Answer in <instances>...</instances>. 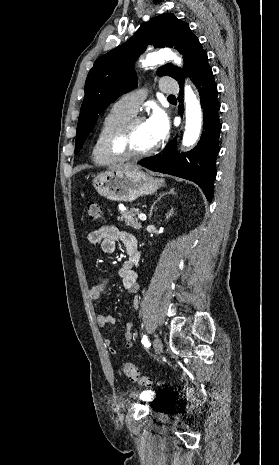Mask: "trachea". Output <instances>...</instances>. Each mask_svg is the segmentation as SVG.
I'll return each instance as SVG.
<instances>
[{
    "mask_svg": "<svg viewBox=\"0 0 279 465\" xmlns=\"http://www.w3.org/2000/svg\"><path fill=\"white\" fill-rule=\"evenodd\" d=\"M168 99H175V96H174V95H170V96L168 97Z\"/></svg>",
    "mask_w": 279,
    "mask_h": 465,
    "instance_id": "obj_1",
    "label": "trachea"
}]
</instances>
